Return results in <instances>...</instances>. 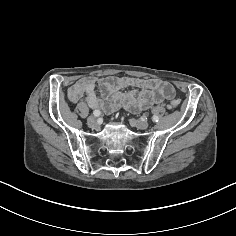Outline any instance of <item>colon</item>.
Instances as JSON below:
<instances>
[{
  "mask_svg": "<svg viewBox=\"0 0 236 236\" xmlns=\"http://www.w3.org/2000/svg\"><path fill=\"white\" fill-rule=\"evenodd\" d=\"M179 104H180V99H178V98L173 99L169 104V108H171V109L176 108L179 106Z\"/></svg>",
  "mask_w": 236,
  "mask_h": 236,
  "instance_id": "obj_1",
  "label": "colon"
}]
</instances>
